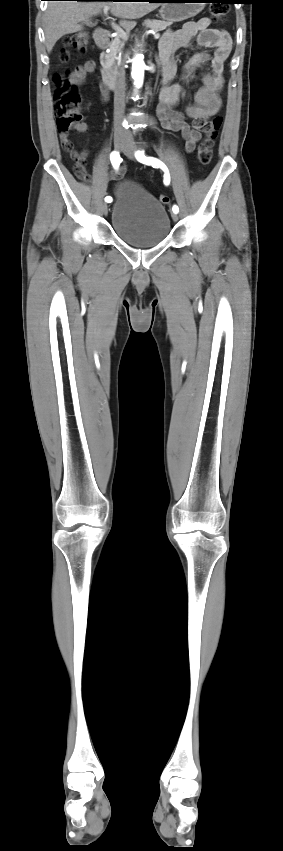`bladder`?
Masks as SVG:
<instances>
[{
  "instance_id": "1",
  "label": "bladder",
  "mask_w": 283,
  "mask_h": 851,
  "mask_svg": "<svg viewBox=\"0 0 283 851\" xmlns=\"http://www.w3.org/2000/svg\"><path fill=\"white\" fill-rule=\"evenodd\" d=\"M111 225L118 238L136 248L162 243L171 229L165 207L140 185L130 181L122 182L117 188Z\"/></svg>"
}]
</instances>
